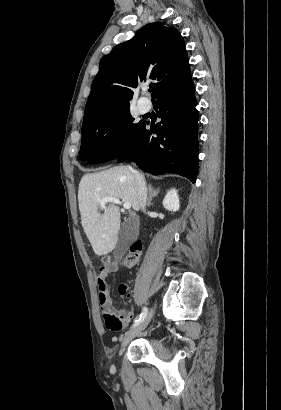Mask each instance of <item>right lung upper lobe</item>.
Masks as SVG:
<instances>
[{
  "mask_svg": "<svg viewBox=\"0 0 281 410\" xmlns=\"http://www.w3.org/2000/svg\"><path fill=\"white\" fill-rule=\"evenodd\" d=\"M151 80L152 99L178 89L191 80L187 51L181 34L155 22L104 56L88 97L83 124L109 112L130 107L132 88Z\"/></svg>",
  "mask_w": 281,
  "mask_h": 410,
  "instance_id": "cb5924a9",
  "label": "right lung upper lobe"
}]
</instances>
